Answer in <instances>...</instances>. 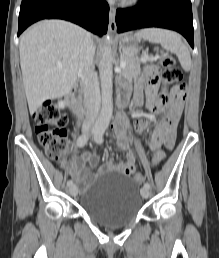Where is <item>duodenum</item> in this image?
<instances>
[{
    "instance_id": "duodenum-1",
    "label": "duodenum",
    "mask_w": 219,
    "mask_h": 258,
    "mask_svg": "<svg viewBox=\"0 0 219 258\" xmlns=\"http://www.w3.org/2000/svg\"><path fill=\"white\" fill-rule=\"evenodd\" d=\"M127 102L126 98L122 97L119 101L120 106L125 105ZM70 104H71V108L73 110V112L78 115V116H82L84 111L82 108V99H81V95H80V90L76 89L74 91V93L71 96V100H70Z\"/></svg>"
}]
</instances>
